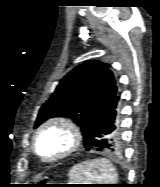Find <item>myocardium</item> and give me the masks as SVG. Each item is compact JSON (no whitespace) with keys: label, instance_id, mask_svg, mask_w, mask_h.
I'll list each match as a JSON object with an SVG mask.
<instances>
[{"label":"myocardium","instance_id":"obj_1","mask_svg":"<svg viewBox=\"0 0 160 187\" xmlns=\"http://www.w3.org/2000/svg\"><path fill=\"white\" fill-rule=\"evenodd\" d=\"M52 128H59L63 130L69 138V143L67 147L61 152L57 153L52 157H46L39 151L38 146L42 135L47 130ZM81 141H82L81 130L76 123L65 117H53L44 121L35 131L32 141V149L35 155L40 160L46 163H53L75 152L80 146Z\"/></svg>","mask_w":160,"mask_h":187}]
</instances>
